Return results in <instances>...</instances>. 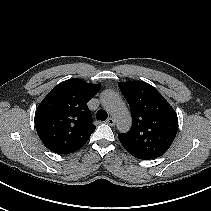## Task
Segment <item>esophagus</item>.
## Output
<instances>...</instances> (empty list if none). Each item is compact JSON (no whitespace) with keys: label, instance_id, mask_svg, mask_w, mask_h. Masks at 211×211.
I'll use <instances>...</instances> for the list:
<instances>
[{"label":"esophagus","instance_id":"34e87169","mask_svg":"<svg viewBox=\"0 0 211 211\" xmlns=\"http://www.w3.org/2000/svg\"><path fill=\"white\" fill-rule=\"evenodd\" d=\"M106 123L113 126L115 124V120L113 118H108Z\"/></svg>","mask_w":211,"mask_h":211}]
</instances>
